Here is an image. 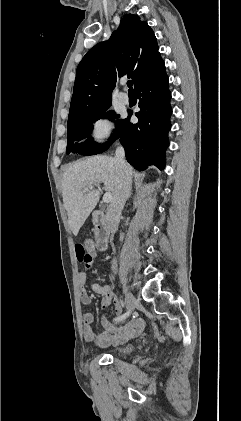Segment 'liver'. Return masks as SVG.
Returning <instances> with one entry per match:
<instances>
[{
  "instance_id": "liver-1",
  "label": "liver",
  "mask_w": 241,
  "mask_h": 421,
  "mask_svg": "<svg viewBox=\"0 0 241 421\" xmlns=\"http://www.w3.org/2000/svg\"><path fill=\"white\" fill-rule=\"evenodd\" d=\"M128 166L130 174H132L133 168ZM118 180L115 159L105 155L79 160L65 170L62 180V196L68 214V223L75 236L100 198L99 190H90L89 186L103 183L104 189L113 197ZM81 192H83L82 195Z\"/></svg>"
}]
</instances>
